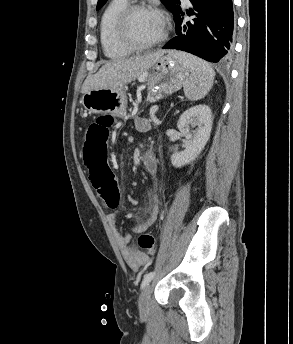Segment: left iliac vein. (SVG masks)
Segmentation results:
<instances>
[{"label":"left iliac vein","mask_w":293,"mask_h":344,"mask_svg":"<svg viewBox=\"0 0 293 344\" xmlns=\"http://www.w3.org/2000/svg\"><path fill=\"white\" fill-rule=\"evenodd\" d=\"M150 298H151V286L147 285L142 290L139 297V301H138L140 315L145 316L148 314L149 307H150Z\"/></svg>","instance_id":"obj_1"}]
</instances>
